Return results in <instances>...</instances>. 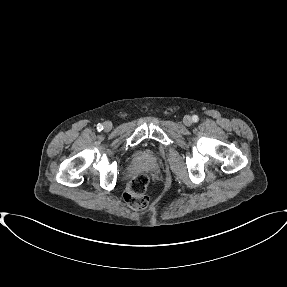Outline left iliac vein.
Segmentation results:
<instances>
[{
	"instance_id": "4c4485c4",
	"label": "left iliac vein",
	"mask_w": 287,
	"mask_h": 287,
	"mask_svg": "<svg viewBox=\"0 0 287 287\" xmlns=\"http://www.w3.org/2000/svg\"><path fill=\"white\" fill-rule=\"evenodd\" d=\"M183 122L185 125L190 126L192 124V118L190 116H185Z\"/></svg>"
}]
</instances>
